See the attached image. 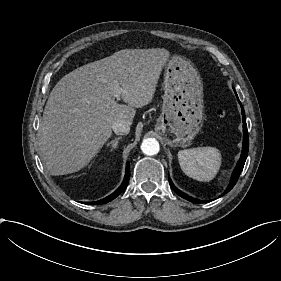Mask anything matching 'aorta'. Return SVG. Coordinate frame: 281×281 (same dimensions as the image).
I'll return each instance as SVG.
<instances>
[{
	"label": "aorta",
	"instance_id": "aorta-1",
	"mask_svg": "<svg viewBox=\"0 0 281 281\" xmlns=\"http://www.w3.org/2000/svg\"><path fill=\"white\" fill-rule=\"evenodd\" d=\"M141 150L148 156L156 155L160 150L159 142L155 138H147L143 140Z\"/></svg>",
	"mask_w": 281,
	"mask_h": 281
}]
</instances>
